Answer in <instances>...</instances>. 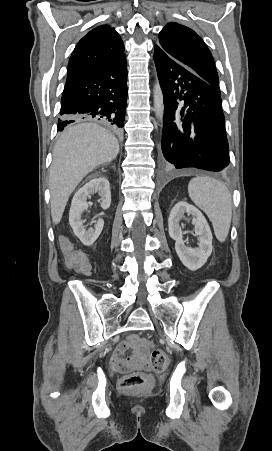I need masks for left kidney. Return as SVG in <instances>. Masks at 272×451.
Masks as SVG:
<instances>
[{"label": "left kidney", "instance_id": "left-kidney-1", "mask_svg": "<svg viewBox=\"0 0 272 451\" xmlns=\"http://www.w3.org/2000/svg\"><path fill=\"white\" fill-rule=\"evenodd\" d=\"M185 212L186 214H190V216L196 220L194 231L195 235H199V247H186L183 241V233L179 226V220L184 218ZM168 227L170 237L175 239L176 253L178 257H180L182 263H184L188 269H192V271L202 267L212 253L213 239L211 229L203 214H201L195 206H190L187 202H178L170 212Z\"/></svg>", "mask_w": 272, "mask_h": 451}]
</instances>
